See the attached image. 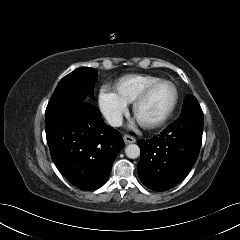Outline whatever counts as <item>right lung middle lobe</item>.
<instances>
[{
	"label": "right lung middle lobe",
	"mask_w": 240,
	"mask_h": 240,
	"mask_svg": "<svg viewBox=\"0 0 240 240\" xmlns=\"http://www.w3.org/2000/svg\"><path fill=\"white\" fill-rule=\"evenodd\" d=\"M96 78V69L77 68L60 80L46 109L65 104L88 102L86 97L93 95Z\"/></svg>",
	"instance_id": "right-lung-middle-lobe-1"
}]
</instances>
